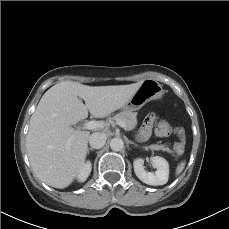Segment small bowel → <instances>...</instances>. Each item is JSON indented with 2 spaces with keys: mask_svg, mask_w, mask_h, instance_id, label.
I'll use <instances>...</instances> for the list:
<instances>
[{
  "mask_svg": "<svg viewBox=\"0 0 229 229\" xmlns=\"http://www.w3.org/2000/svg\"><path fill=\"white\" fill-rule=\"evenodd\" d=\"M149 131H150V122H148L146 125H144L140 130H139V137L140 138H145L149 135ZM178 148V143H176L174 145V149L176 151V149ZM184 148V146H183ZM182 148V150H183Z\"/></svg>",
  "mask_w": 229,
  "mask_h": 229,
  "instance_id": "obj_1",
  "label": "small bowel"
}]
</instances>
